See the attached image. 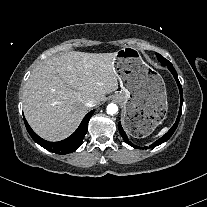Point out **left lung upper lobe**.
Masks as SVG:
<instances>
[{
	"mask_svg": "<svg viewBox=\"0 0 207 207\" xmlns=\"http://www.w3.org/2000/svg\"><path fill=\"white\" fill-rule=\"evenodd\" d=\"M156 56H157L158 60L161 62V64H162L163 66H165V65H167V64L170 63L167 59H165V58H164L163 56H161L160 54L156 53Z\"/></svg>",
	"mask_w": 207,
	"mask_h": 207,
	"instance_id": "1",
	"label": "left lung upper lobe"
}]
</instances>
